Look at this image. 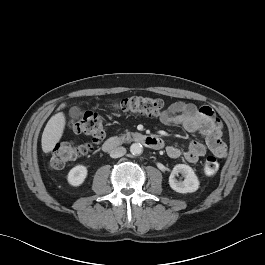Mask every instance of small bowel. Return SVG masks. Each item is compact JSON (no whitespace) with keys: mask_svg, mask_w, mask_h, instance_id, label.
Instances as JSON below:
<instances>
[{"mask_svg":"<svg viewBox=\"0 0 265 265\" xmlns=\"http://www.w3.org/2000/svg\"><path fill=\"white\" fill-rule=\"evenodd\" d=\"M160 122L166 126H181L190 133L199 132L205 143L192 141L185 151L176 146L166 148L169 157L175 159L183 156L189 163H196L207 151L218 158H224L227 148L222 141V124L215 117L213 109L208 106H196L192 103L176 101L160 116Z\"/></svg>","mask_w":265,"mask_h":265,"instance_id":"1","label":"small bowel"}]
</instances>
